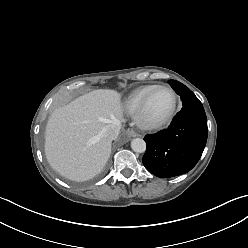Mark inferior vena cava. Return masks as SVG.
Wrapping results in <instances>:
<instances>
[{
	"instance_id": "1",
	"label": "inferior vena cava",
	"mask_w": 248,
	"mask_h": 248,
	"mask_svg": "<svg viewBox=\"0 0 248 248\" xmlns=\"http://www.w3.org/2000/svg\"><path fill=\"white\" fill-rule=\"evenodd\" d=\"M121 129V121L114 120L111 124H108L103 129V134L110 140H115Z\"/></svg>"
}]
</instances>
